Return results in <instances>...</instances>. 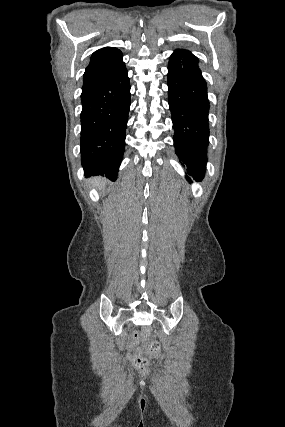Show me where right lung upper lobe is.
<instances>
[{"label":"right lung upper lobe","instance_id":"1","mask_svg":"<svg viewBox=\"0 0 285 427\" xmlns=\"http://www.w3.org/2000/svg\"><path fill=\"white\" fill-rule=\"evenodd\" d=\"M124 71H126V67L122 61L121 51L113 47L102 48L92 54L90 64L83 76V85L118 75Z\"/></svg>","mask_w":285,"mask_h":427}]
</instances>
